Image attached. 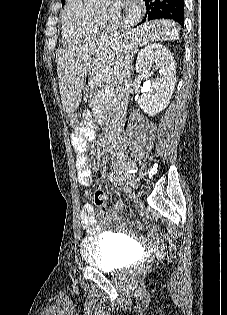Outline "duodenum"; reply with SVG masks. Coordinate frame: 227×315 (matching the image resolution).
Wrapping results in <instances>:
<instances>
[{
    "label": "duodenum",
    "mask_w": 227,
    "mask_h": 315,
    "mask_svg": "<svg viewBox=\"0 0 227 315\" xmlns=\"http://www.w3.org/2000/svg\"><path fill=\"white\" fill-rule=\"evenodd\" d=\"M107 139H108L107 135H104V136L102 137V141H103L104 143L107 142Z\"/></svg>",
    "instance_id": "obj_1"
}]
</instances>
